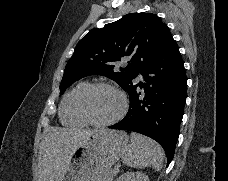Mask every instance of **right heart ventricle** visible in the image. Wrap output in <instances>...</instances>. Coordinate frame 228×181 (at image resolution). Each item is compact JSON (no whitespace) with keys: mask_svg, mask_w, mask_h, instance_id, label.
Here are the masks:
<instances>
[{"mask_svg":"<svg viewBox=\"0 0 228 181\" xmlns=\"http://www.w3.org/2000/svg\"><path fill=\"white\" fill-rule=\"evenodd\" d=\"M88 86L87 82H80L65 98L61 109V120L65 125L84 126L85 121L78 115L77 100L81 92Z\"/></svg>","mask_w":228,"mask_h":181,"instance_id":"e07e8e85","label":"right heart ventricle"}]
</instances>
